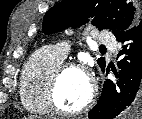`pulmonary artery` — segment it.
I'll return each instance as SVG.
<instances>
[{
  "instance_id": "obj_1",
  "label": "pulmonary artery",
  "mask_w": 142,
  "mask_h": 119,
  "mask_svg": "<svg viewBox=\"0 0 142 119\" xmlns=\"http://www.w3.org/2000/svg\"><path fill=\"white\" fill-rule=\"evenodd\" d=\"M97 41L100 44L107 46H115L116 42L112 36H110L106 31H101L97 36ZM56 52L65 59L69 54V46L66 42L59 43L54 48Z\"/></svg>"
}]
</instances>
